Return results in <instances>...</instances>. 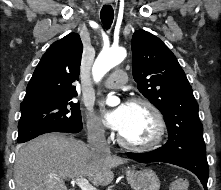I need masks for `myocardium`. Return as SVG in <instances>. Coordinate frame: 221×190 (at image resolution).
I'll return each mask as SVG.
<instances>
[{
	"label": "myocardium",
	"instance_id": "f54148a6",
	"mask_svg": "<svg viewBox=\"0 0 221 190\" xmlns=\"http://www.w3.org/2000/svg\"><path fill=\"white\" fill-rule=\"evenodd\" d=\"M129 105L143 106L150 111L154 120V131L150 140L144 143L131 142L124 138L121 133H118V142L122 146L135 151H148L157 148L161 144L166 132V122L162 112L153 102L143 97L132 98L129 101Z\"/></svg>",
	"mask_w": 221,
	"mask_h": 190
}]
</instances>
